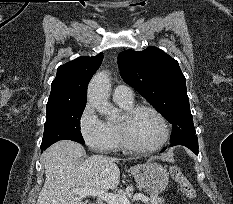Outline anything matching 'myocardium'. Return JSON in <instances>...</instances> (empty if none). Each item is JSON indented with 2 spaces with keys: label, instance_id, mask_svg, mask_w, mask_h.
<instances>
[{
  "label": "myocardium",
  "instance_id": "obj_1",
  "mask_svg": "<svg viewBox=\"0 0 233 204\" xmlns=\"http://www.w3.org/2000/svg\"><path fill=\"white\" fill-rule=\"evenodd\" d=\"M141 111H148L154 114L160 121L163 128V137L158 144L153 147L144 148L138 146L132 139L130 132V125L134 117ZM118 129L121 135V139L125 148L136 153H153L161 149L169 140L170 129L166 118L156 108L149 105H133L131 108L125 110L118 122Z\"/></svg>",
  "mask_w": 233,
  "mask_h": 204
}]
</instances>
